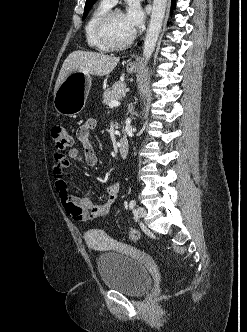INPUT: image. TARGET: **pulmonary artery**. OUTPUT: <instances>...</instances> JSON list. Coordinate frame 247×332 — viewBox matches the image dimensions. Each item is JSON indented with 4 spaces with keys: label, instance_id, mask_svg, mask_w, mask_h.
<instances>
[{
    "label": "pulmonary artery",
    "instance_id": "e3ab8cb5",
    "mask_svg": "<svg viewBox=\"0 0 247 332\" xmlns=\"http://www.w3.org/2000/svg\"><path fill=\"white\" fill-rule=\"evenodd\" d=\"M106 1L107 3H109L110 5H115L117 3L118 0H104Z\"/></svg>",
    "mask_w": 247,
    "mask_h": 332
}]
</instances>
